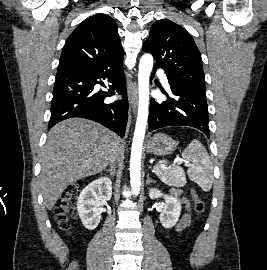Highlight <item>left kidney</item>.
<instances>
[{
	"instance_id": "5707ae66",
	"label": "left kidney",
	"mask_w": 267,
	"mask_h": 270,
	"mask_svg": "<svg viewBox=\"0 0 267 270\" xmlns=\"http://www.w3.org/2000/svg\"><path fill=\"white\" fill-rule=\"evenodd\" d=\"M164 181L166 182L165 179ZM149 197L151 199H156L159 197H163L165 199L164 209L162 210L159 219L164 228L173 227L177 223L181 214L180 201L176 197L165 195L155 188H151L149 190Z\"/></svg>"
}]
</instances>
